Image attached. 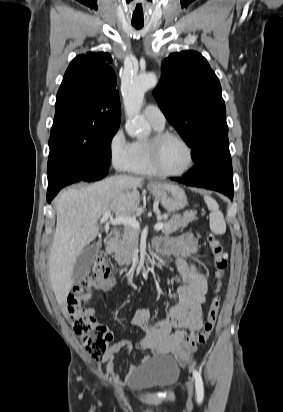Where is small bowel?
I'll use <instances>...</instances> for the list:
<instances>
[{
	"label": "small bowel",
	"mask_w": 283,
	"mask_h": 412,
	"mask_svg": "<svg viewBox=\"0 0 283 412\" xmlns=\"http://www.w3.org/2000/svg\"><path fill=\"white\" fill-rule=\"evenodd\" d=\"M154 245L160 252L174 256V267L182 284L176 290L177 303L168 306L164 319L152 323L151 314L145 308H139L134 313L131 323L145 333L136 347L151 351L158 357L174 355L178 363L184 366L188 362L190 350L179 354L178 345L188 331H196L202 326V304L207 291V278L198 272L192 263L198 253V242L193 233L185 232L175 238H157ZM115 282L114 276L108 277L99 283V288L106 293ZM162 292L166 293L165 286ZM90 312L94 314L95 310L90 309ZM124 349L130 350L131 344L127 341L113 342L103 358V361L107 362L106 372L116 385H124L127 382V378H122L115 372V356ZM149 358L144 356L142 361L147 362ZM136 368V365L131 364L129 374Z\"/></svg>",
	"instance_id": "obj_1"
}]
</instances>
